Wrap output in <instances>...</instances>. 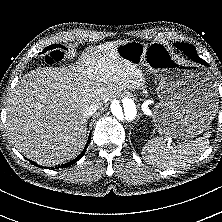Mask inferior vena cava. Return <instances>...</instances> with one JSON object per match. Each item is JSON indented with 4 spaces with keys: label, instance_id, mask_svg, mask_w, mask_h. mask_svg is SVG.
<instances>
[{
    "label": "inferior vena cava",
    "instance_id": "inferior-vena-cava-1",
    "mask_svg": "<svg viewBox=\"0 0 222 222\" xmlns=\"http://www.w3.org/2000/svg\"><path fill=\"white\" fill-rule=\"evenodd\" d=\"M99 108H100L99 103H89V104L85 105L84 114L86 116L93 115Z\"/></svg>",
    "mask_w": 222,
    "mask_h": 222
}]
</instances>
